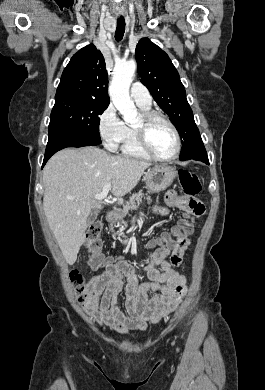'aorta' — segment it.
Instances as JSON below:
<instances>
[{"instance_id":"obj_1","label":"aorta","mask_w":265,"mask_h":390,"mask_svg":"<svg viewBox=\"0 0 265 390\" xmlns=\"http://www.w3.org/2000/svg\"><path fill=\"white\" fill-rule=\"evenodd\" d=\"M136 71L135 61L117 63L113 70V78L109 87L111 100L126 123H135L138 118L137 109L129 96V88Z\"/></svg>"}]
</instances>
